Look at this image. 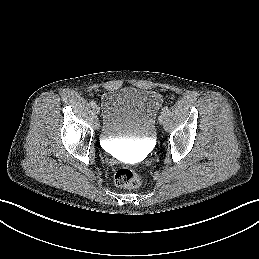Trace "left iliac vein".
Masks as SVG:
<instances>
[{
    "label": "left iliac vein",
    "mask_w": 259,
    "mask_h": 259,
    "mask_svg": "<svg viewBox=\"0 0 259 259\" xmlns=\"http://www.w3.org/2000/svg\"><path fill=\"white\" fill-rule=\"evenodd\" d=\"M165 117H166V115L164 113H161L159 115L158 121H159L160 124H162L164 122Z\"/></svg>",
    "instance_id": "left-iliac-vein-1"
}]
</instances>
